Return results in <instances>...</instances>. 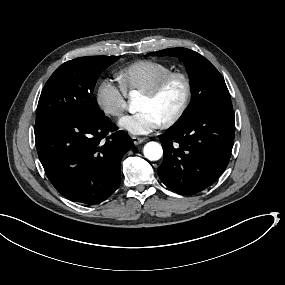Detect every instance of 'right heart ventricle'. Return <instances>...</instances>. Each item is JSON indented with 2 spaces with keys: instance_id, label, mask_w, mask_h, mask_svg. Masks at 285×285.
I'll return each instance as SVG.
<instances>
[{
  "instance_id": "1",
  "label": "right heart ventricle",
  "mask_w": 285,
  "mask_h": 285,
  "mask_svg": "<svg viewBox=\"0 0 285 285\" xmlns=\"http://www.w3.org/2000/svg\"><path fill=\"white\" fill-rule=\"evenodd\" d=\"M172 72L170 67L157 61H143L136 64L129 83V94L135 98L139 97Z\"/></svg>"
}]
</instances>
